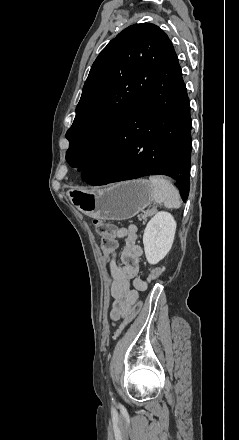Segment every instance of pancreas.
I'll return each mask as SVG.
<instances>
[{"mask_svg":"<svg viewBox=\"0 0 239 440\" xmlns=\"http://www.w3.org/2000/svg\"><path fill=\"white\" fill-rule=\"evenodd\" d=\"M155 212L156 210H146L144 214H140V216H138V220H144V222H146L147 218H149V216H153Z\"/></svg>","mask_w":239,"mask_h":440,"instance_id":"cf45deb5","label":"pancreas"}]
</instances>
